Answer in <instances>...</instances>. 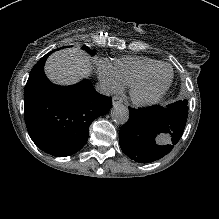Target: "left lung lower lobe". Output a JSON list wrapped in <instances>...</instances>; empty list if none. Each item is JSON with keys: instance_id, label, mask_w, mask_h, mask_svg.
<instances>
[{"instance_id": "1", "label": "left lung lower lobe", "mask_w": 219, "mask_h": 219, "mask_svg": "<svg viewBox=\"0 0 219 219\" xmlns=\"http://www.w3.org/2000/svg\"><path fill=\"white\" fill-rule=\"evenodd\" d=\"M130 118L120 129L123 152L137 162L148 163L169 153L182 136L186 116L155 105L148 109L129 107Z\"/></svg>"}]
</instances>
